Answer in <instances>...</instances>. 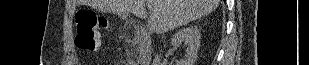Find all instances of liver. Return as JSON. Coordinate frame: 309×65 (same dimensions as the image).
<instances>
[{"instance_id": "1", "label": "liver", "mask_w": 309, "mask_h": 65, "mask_svg": "<svg viewBox=\"0 0 309 65\" xmlns=\"http://www.w3.org/2000/svg\"><path fill=\"white\" fill-rule=\"evenodd\" d=\"M145 2L150 9L149 18ZM85 3L102 12L133 13L139 18H148L151 30L165 33L210 14L219 0H88Z\"/></svg>"}]
</instances>
